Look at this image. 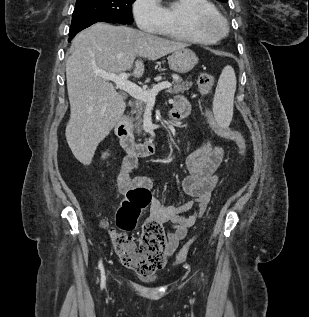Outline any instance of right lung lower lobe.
<instances>
[{
    "mask_svg": "<svg viewBox=\"0 0 309 317\" xmlns=\"http://www.w3.org/2000/svg\"><path fill=\"white\" fill-rule=\"evenodd\" d=\"M96 22H110V23H114V22H111V21H108V20H101V19H85V20H81V21L72 23V25L70 27V31H69V39H68V41L70 42L79 31L89 27L90 25H92V24H94Z\"/></svg>",
    "mask_w": 309,
    "mask_h": 317,
    "instance_id": "right-lung-lower-lobe-1",
    "label": "right lung lower lobe"
}]
</instances>
